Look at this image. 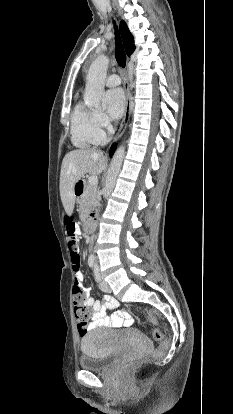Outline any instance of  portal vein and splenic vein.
<instances>
[{"mask_svg": "<svg viewBox=\"0 0 233 414\" xmlns=\"http://www.w3.org/2000/svg\"><path fill=\"white\" fill-rule=\"evenodd\" d=\"M88 182H89L90 185H97L98 184V178H97V176L91 175L88 178Z\"/></svg>", "mask_w": 233, "mask_h": 414, "instance_id": "portal-vein-and-splenic-vein-1", "label": "portal vein and splenic vein"}]
</instances>
